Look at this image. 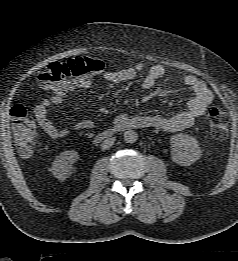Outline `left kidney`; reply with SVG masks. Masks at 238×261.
<instances>
[{"mask_svg":"<svg viewBox=\"0 0 238 261\" xmlns=\"http://www.w3.org/2000/svg\"><path fill=\"white\" fill-rule=\"evenodd\" d=\"M172 161L181 166H190L200 159L202 150L197 140L187 134L178 133L170 138Z\"/></svg>","mask_w":238,"mask_h":261,"instance_id":"left-kidney-1","label":"left kidney"}]
</instances>
